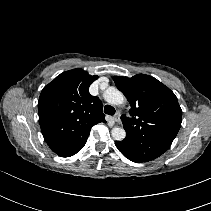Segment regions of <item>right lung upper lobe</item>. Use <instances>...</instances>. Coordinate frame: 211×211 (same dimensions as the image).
Here are the masks:
<instances>
[{"instance_id": "cb5924a9", "label": "right lung upper lobe", "mask_w": 211, "mask_h": 211, "mask_svg": "<svg viewBox=\"0 0 211 211\" xmlns=\"http://www.w3.org/2000/svg\"><path fill=\"white\" fill-rule=\"evenodd\" d=\"M98 76L77 68L46 85L38 101L39 123L52 151L61 157L76 154L85 145L91 127L105 122L101 100L89 93Z\"/></svg>"}]
</instances>
